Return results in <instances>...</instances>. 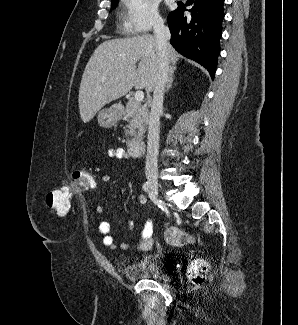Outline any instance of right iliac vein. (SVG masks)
Here are the masks:
<instances>
[{
    "label": "right iliac vein",
    "mask_w": 298,
    "mask_h": 325,
    "mask_svg": "<svg viewBox=\"0 0 298 325\" xmlns=\"http://www.w3.org/2000/svg\"><path fill=\"white\" fill-rule=\"evenodd\" d=\"M148 183H149L151 192L154 195V197H158L159 187H158L157 179L155 177H149L148 178Z\"/></svg>",
    "instance_id": "1"
}]
</instances>
